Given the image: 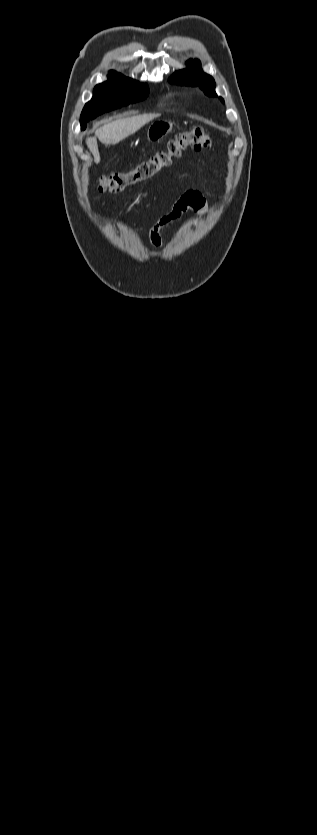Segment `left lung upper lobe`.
Masks as SVG:
<instances>
[{"label": "left lung upper lobe", "instance_id": "obj_1", "mask_svg": "<svg viewBox=\"0 0 317 835\" xmlns=\"http://www.w3.org/2000/svg\"><path fill=\"white\" fill-rule=\"evenodd\" d=\"M188 63V68L175 72L171 76L170 82L179 85L199 86L206 95L217 96L215 93L214 79L201 70L200 61L190 60ZM220 99L224 103V100L221 97Z\"/></svg>", "mask_w": 317, "mask_h": 835}]
</instances>
